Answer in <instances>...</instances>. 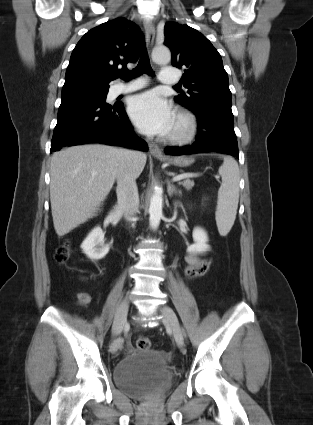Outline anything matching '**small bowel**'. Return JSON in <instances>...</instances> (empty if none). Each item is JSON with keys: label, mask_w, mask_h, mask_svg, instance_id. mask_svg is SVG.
<instances>
[{"label": "small bowel", "mask_w": 313, "mask_h": 425, "mask_svg": "<svg viewBox=\"0 0 313 425\" xmlns=\"http://www.w3.org/2000/svg\"><path fill=\"white\" fill-rule=\"evenodd\" d=\"M185 260L188 264V267L190 266L198 267L203 263L202 260H200L198 257H196L193 254L187 255L185 257ZM78 300L81 306L86 307L91 301V296L86 292H81L78 294Z\"/></svg>", "instance_id": "c3829d8e"}]
</instances>
